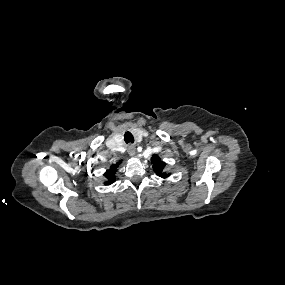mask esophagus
<instances>
[{
    "mask_svg": "<svg viewBox=\"0 0 285 285\" xmlns=\"http://www.w3.org/2000/svg\"><path fill=\"white\" fill-rule=\"evenodd\" d=\"M128 153H129L130 156H134V155H135V153H136V148H135L134 145H129V146H128Z\"/></svg>",
    "mask_w": 285,
    "mask_h": 285,
    "instance_id": "1",
    "label": "esophagus"
}]
</instances>
